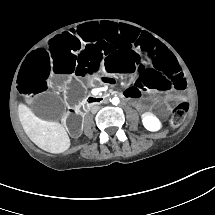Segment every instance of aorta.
Listing matches in <instances>:
<instances>
[{
  "label": "aorta",
  "mask_w": 215,
  "mask_h": 215,
  "mask_svg": "<svg viewBox=\"0 0 215 215\" xmlns=\"http://www.w3.org/2000/svg\"><path fill=\"white\" fill-rule=\"evenodd\" d=\"M119 102H120V100H119V98H118V97H113V98H112L111 103H112L113 105H118V104H119Z\"/></svg>",
  "instance_id": "aorta-1"
}]
</instances>
